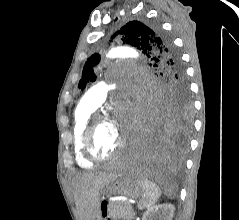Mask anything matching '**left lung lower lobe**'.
I'll use <instances>...</instances> for the list:
<instances>
[{
	"mask_svg": "<svg viewBox=\"0 0 239 220\" xmlns=\"http://www.w3.org/2000/svg\"><path fill=\"white\" fill-rule=\"evenodd\" d=\"M186 146L187 129L179 127L165 108H157L146 119L132 164L142 172H163L181 163Z\"/></svg>",
	"mask_w": 239,
	"mask_h": 220,
	"instance_id": "0a47b994",
	"label": "left lung lower lobe"
}]
</instances>
